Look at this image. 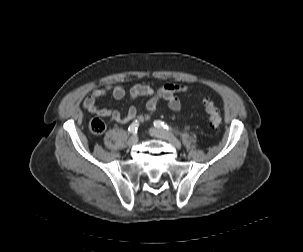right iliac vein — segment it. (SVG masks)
<instances>
[{
	"label": "right iliac vein",
	"instance_id": "obj_1",
	"mask_svg": "<svg viewBox=\"0 0 303 252\" xmlns=\"http://www.w3.org/2000/svg\"><path fill=\"white\" fill-rule=\"evenodd\" d=\"M138 142V138L136 135H132L129 139H128V145L129 146H133Z\"/></svg>",
	"mask_w": 303,
	"mask_h": 252
}]
</instances>
